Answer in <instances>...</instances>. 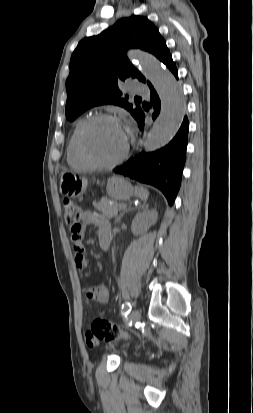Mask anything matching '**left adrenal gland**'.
<instances>
[{
	"mask_svg": "<svg viewBox=\"0 0 253 413\" xmlns=\"http://www.w3.org/2000/svg\"><path fill=\"white\" fill-rule=\"evenodd\" d=\"M124 213H125V212H123V213L116 219V223L121 220V217L124 215Z\"/></svg>",
	"mask_w": 253,
	"mask_h": 413,
	"instance_id": "obj_1",
	"label": "left adrenal gland"
}]
</instances>
